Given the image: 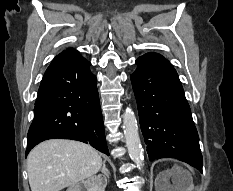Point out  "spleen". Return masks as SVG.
Instances as JSON below:
<instances>
[{
	"label": "spleen",
	"mask_w": 233,
	"mask_h": 191,
	"mask_svg": "<svg viewBox=\"0 0 233 191\" xmlns=\"http://www.w3.org/2000/svg\"><path fill=\"white\" fill-rule=\"evenodd\" d=\"M181 174H184L185 176H189V174L186 172H181Z\"/></svg>",
	"instance_id": "1"
}]
</instances>
